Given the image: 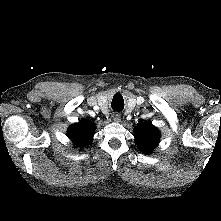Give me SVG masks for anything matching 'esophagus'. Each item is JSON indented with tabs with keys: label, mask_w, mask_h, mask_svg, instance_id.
I'll return each mask as SVG.
<instances>
[{
	"label": "esophagus",
	"mask_w": 221,
	"mask_h": 221,
	"mask_svg": "<svg viewBox=\"0 0 221 221\" xmlns=\"http://www.w3.org/2000/svg\"><path fill=\"white\" fill-rule=\"evenodd\" d=\"M112 118H113V120H114L115 122H120V121H121V116H120V114H118V113H114V114L112 115Z\"/></svg>",
	"instance_id": "esophagus-1"
}]
</instances>
